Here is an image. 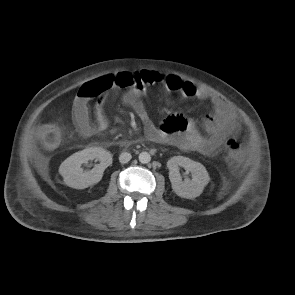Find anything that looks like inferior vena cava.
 Returning <instances> with one entry per match:
<instances>
[{
  "mask_svg": "<svg viewBox=\"0 0 295 295\" xmlns=\"http://www.w3.org/2000/svg\"><path fill=\"white\" fill-rule=\"evenodd\" d=\"M131 158H132V156H131V154L130 153H128V152H123V153H121L120 154V156H119V161H120V163H127V162H129L130 160H131Z\"/></svg>",
  "mask_w": 295,
  "mask_h": 295,
  "instance_id": "inferior-vena-cava-1",
  "label": "inferior vena cava"
}]
</instances>
